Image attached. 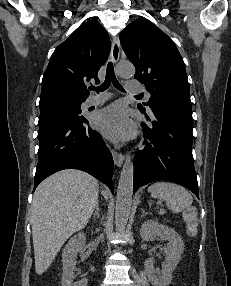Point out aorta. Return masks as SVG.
<instances>
[{
	"mask_svg": "<svg viewBox=\"0 0 231 286\" xmlns=\"http://www.w3.org/2000/svg\"><path fill=\"white\" fill-rule=\"evenodd\" d=\"M117 74L123 78H131L135 68L131 63H120ZM134 166L130 155H126L120 175L115 206V226L117 231L125 229L132 205Z\"/></svg>",
	"mask_w": 231,
	"mask_h": 286,
	"instance_id": "obj_1",
	"label": "aorta"
}]
</instances>
